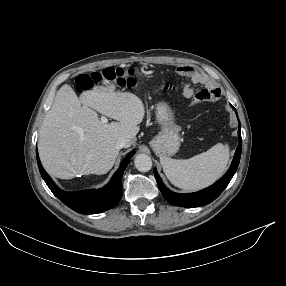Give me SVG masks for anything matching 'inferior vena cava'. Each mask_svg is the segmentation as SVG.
<instances>
[{"label": "inferior vena cava", "mask_w": 286, "mask_h": 286, "mask_svg": "<svg viewBox=\"0 0 286 286\" xmlns=\"http://www.w3.org/2000/svg\"><path fill=\"white\" fill-rule=\"evenodd\" d=\"M127 146H128L127 140L124 138H119L116 142V148L117 149L126 148Z\"/></svg>", "instance_id": "602c4592"}]
</instances>
